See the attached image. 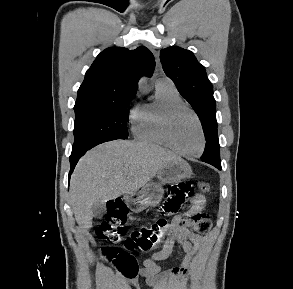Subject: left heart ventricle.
Here are the masks:
<instances>
[{
	"mask_svg": "<svg viewBox=\"0 0 293 289\" xmlns=\"http://www.w3.org/2000/svg\"><path fill=\"white\" fill-rule=\"evenodd\" d=\"M171 134L175 145L190 154L197 153L201 145L199 128L192 115L180 112L172 122Z\"/></svg>",
	"mask_w": 293,
	"mask_h": 289,
	"instance_id": "1",
	"label": "left heart ventricle"
}]
</instances>
